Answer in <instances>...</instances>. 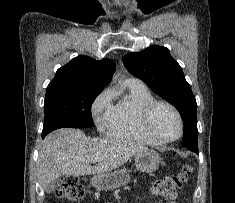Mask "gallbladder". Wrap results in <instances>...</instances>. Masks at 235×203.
Listing matches in <instances>:
<instances>
[{
    "instance_id": "bac80fb5",
    "label": "gallbladder",
    "mask_w": 235,
    "mask_h": 203,
    "mask_svg": "<svg viewBox=\"0 0 235 203\" xmlns=\"http://www.w3.org/2000/svg\"><path fill=\"white\" fill-rule=\"evenodd\" d=\"M60 182H61V181H60L59 178L56 179V180H54L53 182H51V183L49 184V186L46 188V192H47V193L53 192V191L59 186Z\"/></svg>"
}]
</instances>
